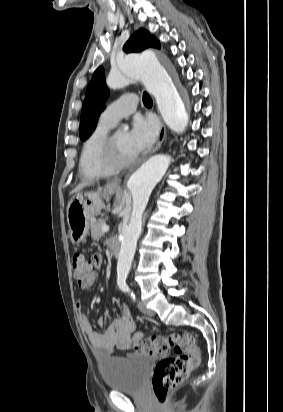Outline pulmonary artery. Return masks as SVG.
Masks as SVG:
<instances>
[{"label":"pulmonary artery","mask_w":283,"mask_h":412,"mask_svg":"<svg viewBox=\"0 0 283 412\" xmlns=\"http://www.w3.org/2000/svg\"><path fill=\"white\" fill-rule=\"evenodd\" d=\"M138 98L136 95H123L110 103L100 115V121L111 126L119 120L131 115L137 108Z\"/></svg>","instance_id":"obj_1"}]
</instances>
